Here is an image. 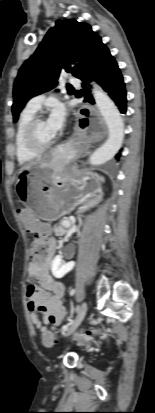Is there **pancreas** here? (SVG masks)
Returning <instances> with one entry per match:
<instances>
[{
  "label": "pancreas",
  "instance_id": "cf45deb5",
  "mask_svg": "<svg viewBox=\"0 0 155 413\" xmlns=\"http://www.w3.org/2000/svg\"><path fill=\"white\" fill-rule=\"evenodd\" d=\"M63 222L64 221H61L60 224L55 227L58 236H62L65 233V230L63 229Z\"/></svg>",
  "mask_w": 155,
  "mask_h": 413
}]
</instances>
